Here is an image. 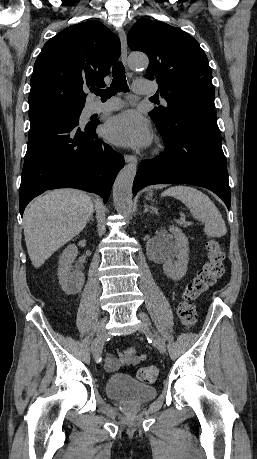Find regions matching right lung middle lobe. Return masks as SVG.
<instances>
[{
  "instance_id": "obj_1",
  "label": "right lung middle lobe",
  "mask_w": 257,
  "mask_h": 459,
  "mask_svg": "<svg viewBox=\"0 0 257 459\" xmlns=\"http://www.w3.org/2000/svg\"><path fill=\"white\" fill-rule=\"evenodd\" d=\"M82 109L83 107H62V108L47 109V110L37 111L34 113H29V118L33 116H52V117H59L62 119L79 120Z\"/></svg>"
}]
</instances>
